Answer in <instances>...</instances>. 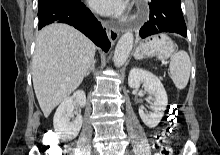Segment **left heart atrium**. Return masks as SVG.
Returning <instances> with one entry per match:
<instances>
[{
	"mask_svg": "<svg viewBox=\"0 0 220 155\" xmlns=\"http://www.w3.org/2000/svg\"><path fill=\"white\" fill-rule=\"evenodd\" d=\"M91 7L103 15H120L127 8L126 0H90Z\"/></svg>",
	"mask_w": 220,
	"mask_h": 155,
	"instance_id": "obj_1",
	"label": "left heart atrium"
}]
</instances>
